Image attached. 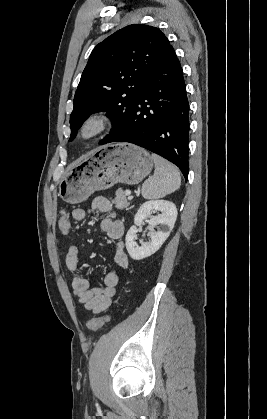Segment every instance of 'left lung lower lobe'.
<instances>
[{
    "label": "left lung lower lobe",
    "instance_id": "left-lung-lower-lobe-1",
    "mask_svg": "<svg viewBox=\"0 0 267 419\" xmlns=\"http://www.w3.org/2000/svg\"><path fill=\"white\" fill-rule=\"evenodd\" d=\"M189 102L181 64L170 45L128 115L100 144L129 142L177 165L188 177Z\"/></svg>",
    "mask_w": 267,
    "mask_h": 419
}]
</instances>
